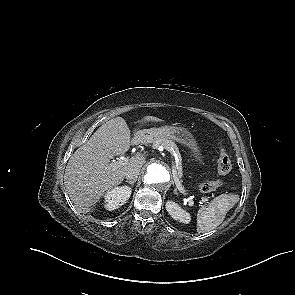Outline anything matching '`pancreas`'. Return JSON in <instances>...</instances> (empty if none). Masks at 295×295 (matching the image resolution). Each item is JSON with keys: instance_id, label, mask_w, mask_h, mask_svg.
Returning <instances> with one entry per match:
<instances>
[{"instance_id": "cf45deb5", "label": "pancreas", "mask_w": 295, "mask_h": 295, "mask_svg": "<svg viewBox=\"0 0 295 295\" xmlns=\"http://www.w3.org/2000/svg\"><path fill=\"white\" fill-rule=\"evenodd\" d=\"M160 145H163L165 147V149H167L168 151H171V152H175L177 153L178 157H179V163H178V167L174 169L173 173L175 175V177L179 180L183 173H182V165H181V156H180V153H179V150L176 146V144L174 142H172L171 140H161V141H157L154 143V147H157V146H160Z\"/></svg>"}]
</instances>
